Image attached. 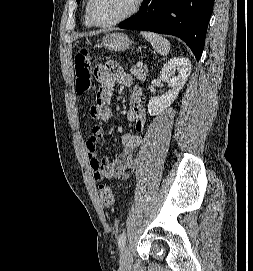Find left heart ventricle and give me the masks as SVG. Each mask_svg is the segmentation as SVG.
<instances>
[{
	"label": "left heart ventricle",
	"mask_w": 253,
	"mask_h": 271,
	"mask_svg": "<svg viewBox=\"0 0 253 271\" xmlns=\"http://www.w3.org/2000/svg\"><path fill=\"white\" fill-rule=\"evenodd\" d=\"M135 0H94L93 13L101 23L111 22L125 13L133 6Z\"/></svg>",
	"instance_id": "b2bd125f"
}]
</instances>
